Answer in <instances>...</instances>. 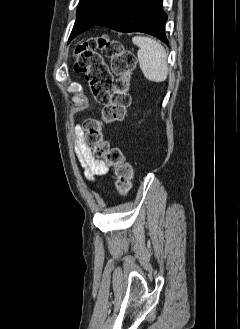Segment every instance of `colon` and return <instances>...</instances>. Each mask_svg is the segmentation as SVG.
Wrapping results in <instances>:
<instances>
[{
  "mask_svg": "<svg viewBox=\"0 0 240 329\" xmlns=\"http://www.w3.org/2000/svg\"><path fill=\"white\" fill-rule=\"evenodd\" d=\"M105 57L111 59V70ZM135 65L134 53L107 35L90 38L75 49V71L85 74L94 99L104 106L100 119L84 122V142L95 157L114 168L116 188L121 195L127 194L132 187L133 168L123 152L105 140L103 129L105 124L124 118L131 103Z\"/></svg>",
  "mask_w": 240,
  "mask_h": 329,
  "instance_id": "5ec220e1",
  "label": "colon"
}]
</instances>
